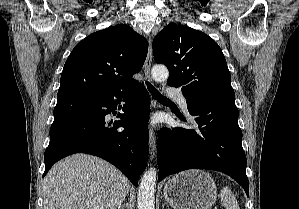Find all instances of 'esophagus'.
I'll return each mask as SVG.
<instances>
[{"label": "esophagus", "mask_w": 299, "mask_h": 209, "mask_svg": "<svg viewBox=\"0 0 299 209\" xmlns=\"http://www.w3.org/2000/svg\"><path fill=\"white\" fill-rule=\"evenodd\" d=\"M148 42H149V46H148L147 57L144 64V73L146 78L150 80V68H151L152 56H153L152 40L150 37ZM152 106L154 105L152 104ZM149 150H150V158L152 160L155 157V152H156V137H155L154 130L152 128H150L149 130Z\"/></svg>", "instance_id": "34e87169"}]
</instances>
